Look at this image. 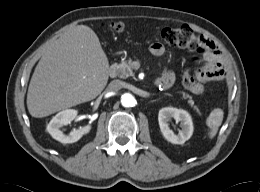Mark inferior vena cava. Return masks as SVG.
Segmentation results:
<instances>
[{"mask_svg":"<svg viewBox=\"0 0 260 192\" xmlns=\"http://www.w3.org/2000/svg\"><path fill=\"white\" fill-rule=\"evenodd\" d=\"M123 87V82L120 80H113L107 87V91L116 92L119 91Z\"/></svg>","mask_w":260,"mask_h":192,"instance_id":"1","label":"inferior vena cava"}]
</instances>
